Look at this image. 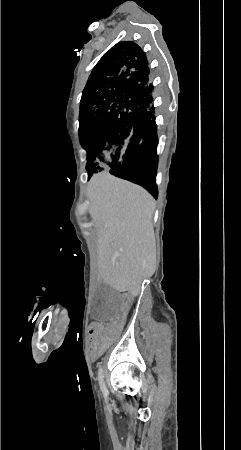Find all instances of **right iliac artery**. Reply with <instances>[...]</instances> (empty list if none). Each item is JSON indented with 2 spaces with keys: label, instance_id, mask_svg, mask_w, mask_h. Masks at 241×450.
<instances>
[{
  "label": "right iliac artery",
  "instance_id": "1",
  "mask_svg": "<svg viewBox=\"0 0 241 450\" xmlns=\"http://www.w3.org/2000/svg\"><path fill=\"white\" fill-rule=\"evenodd\" d=\"M98 381H99V385H100L101 391L104 393V395H107L108 394V390H107L105 382H104V376H103V372H102V368L101 367H100V371H99V375H98Z\"/></svg>",
  "mask_w": 241,
  "mask_h": 450
}]
</instances>
